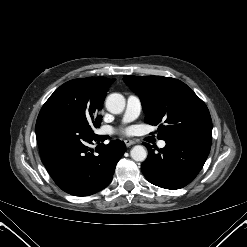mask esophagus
<instances>
[{
  "mask_svg": "<svg viewBox=\"0 0 247 247\" xmlns=\"http://www.w3.org/2000/svg\"><path fill=\"white\" fill-rule=\"evenodd\" d=\"M124 142H125V145H126L127 147H129V146H131V145H133V144L136 143L134 140H130V139H127V140H125Z\"/></svg>",
  "mask_w": 247,
  "mask_h": 247,
  "instance_id": "1",
  "label": "esophagus"
}]
</instances>
